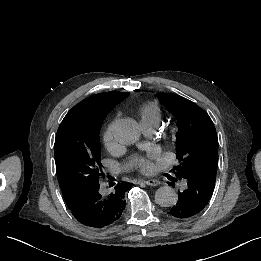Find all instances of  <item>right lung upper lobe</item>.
Here are the masks:
<instances>
[{"mask_svg":"<svg viewBox=\"0 0 261 261\" xmlns=\"http://www.w3.org/2000/svg\"><path fill=\"white\" fill-rule=\"evenodd\" d=\"M129 93L111 91L92 95L74 106L68 113H78L95 119H103L123 101Z\"/></svg>","mask_w":261,"mask_h":261,"instance_id":"1","label":"right lung upper lobe"}]
</instances>
